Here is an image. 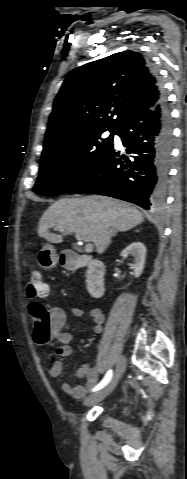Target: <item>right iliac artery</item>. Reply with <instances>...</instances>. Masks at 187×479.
<instances>
[{
  "instance_id": "82829eb1",
  "label": "right iliac artery",
  "mask_w": 187,
  "mask_h": 479,
  "mask_svg": "<svg viewBox=\"0 0 187 479\" xmlns=\"http://www.w3.org/2000/svg\"><path fill=\"white\" fill-rule=\"evenodd\" d=\"M112 375H113L112 370H109L106 373L103 380L96 387H94L92 391H98V390L102 389L104 386H106L110 382V380L112 378Z\"/></svg>"
}]
</instances>
